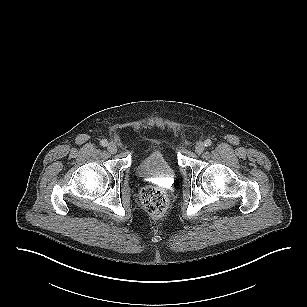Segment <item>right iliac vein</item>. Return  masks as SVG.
<instances>
[{
	"label": "right iliac vein",
	"mask_w": 307,
	"mask_h": 307,
	"mask_svg": "<svg viewBox=\"0 0 307 307\" xmlns=\"http://www.w3.org/2000/svg\"><path fill=\"white\" fill-rule=\"evenodd\" d=\"M107 150L110 152V153H112V154H114V153H116L117 152V146H116V144L115 143H109L108 144V146H107Z\"/></svg>",
	"instance_id": "right-iliac-vein-1"
}]
</instances>
